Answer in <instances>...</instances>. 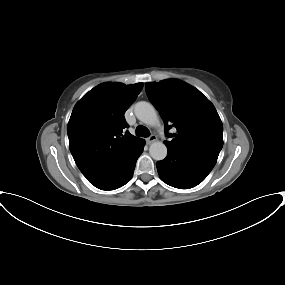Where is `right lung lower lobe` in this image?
I'll list each match as a JSON object with an SVG mask.
<instances>
[{
  "mask_svg": "<svg viewBox=\"0 0 285 285\" xmlns=\"http://www.w3.org/2000/svg\"><path fill=\"white\" fill-rule=\"evenodd\" d=\"M144 140L120 154L102 169L87 176V180L102 190H114L125 185L132 177L136 161L143 151Z\"/></svg>",
  "mask_w": 285,
  "mask_h": 285,
  "instance_id": "98d812e1",
  "label": "right lung lower lobe"
}]
</instances>
